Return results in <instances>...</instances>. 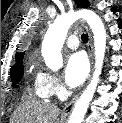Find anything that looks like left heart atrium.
<instances>
[{"mask_svg":"<svg viewBox=\"0 0 122 123\" xmlns=\"http://www.w3.org/2000/svg\"><path fill=\"white\" fill-rule=\"evenodd\" d=\"M89 72V63L86 55L82 52H76L67 58L64 80L65 83L75 88L80 86L86 79Z\"/></svg>","mask_w":122,"mask_h":123,"instance_id":"obj_1","label":"left heart atrium"}]
</instances>
